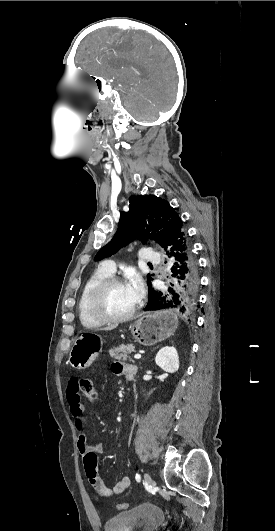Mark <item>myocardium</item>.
Wrapping results in <instances>:
<instances>
[{
  "mask_svg": "<svg viewBox=\"0 0 275 531\" xmlns=\"http://www.w3.org/2000/svg\"><path fill=\"white\" fill-rule=\"evenodd\" d=\"M124 281L123 277L110 275L103 279L92 291L89 296L87 307L90 315L102 323H120L130 319L136 312L138 301L132 309L122 316H112L103 308V299L107 290L114 284Z\"/></svg>",
  "mask_w": 275,
  "mask_h": 531,
  "instance_id": "f54148a6",
  "label": "myocardium"
}]
</instances>
